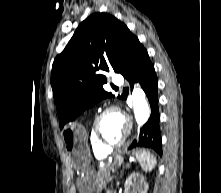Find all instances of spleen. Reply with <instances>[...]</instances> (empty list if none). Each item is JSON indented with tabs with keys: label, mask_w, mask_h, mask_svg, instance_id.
<instances>
[{
	"label": "spleen",
	"mask_w": 221,
	"mask_h": 193,
	"mask_svg": "<svg viewBox=\"0 0 221 193\" xmlns=\"http://www.w3.org/2000/svg\"><path fill=\"white\" fill-rule=\"evenodd\" d=\"M134 154L145 172L152 171L156 166V158L149 151L137 150Z\"/></svg>",
	"instance_id": "3e777b00"
}]
</instances>
